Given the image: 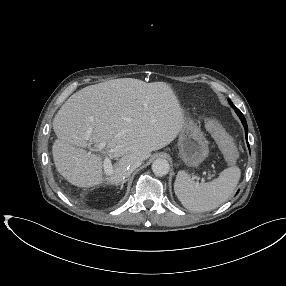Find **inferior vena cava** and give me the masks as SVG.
<instances>
[{"instance_id": "602c4592", "label": "inferior vena cava", "mask_w": 286, "mask_h": 286, "mask_svg": "<svg viewBox=\"0 0 286 286\" xmlns=\"http://www.w3.org/2000/svg\"><path fill=\"white\" fill-rule=\"evenodd\" d=\"M142 164V160L139 158H135L129 161L127 167V175L129 176L136 168H138Z\"/></svg>"}]
</instances>
